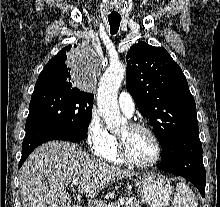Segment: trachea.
Segmentation results:
<instances>
[{
    "instance_id": "3493384b",
    "label": "trachea",
    "mask_w": 220,
    "mask_h": 207,
    "mask_svg": "<svg viewBox=\"0 0 220 207\" xmlns=\"http://www.w3.org/2000/svg\"><path fill=\"white\" fill-rule=\"evenodd\" d=\"M108 21L110 24V33L112 35L116 34L119 29L121 17L120 16H110V17H108Z\"/></svg>"
}]
</instances>
